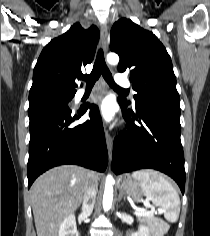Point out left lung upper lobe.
I'll return each mask as SVG.
<instances>
[{"label": "left lung upper lobe", "instance_id": "5c2ea615", "mask_svg": "<svg viewBox=\"0 0 210 236\" xmlns=\"http://www.w3.org/2000/svg\"><path fill=\"white\" fill-rule=\"evenodd\" d=\"M110 49L120 56L119 72H130L135 106L156 100L179 104L171 58L152 32L120 19L112 27Z\"/></svg>", "mask_w": 210, "mask_h": 236}]
</instances>
